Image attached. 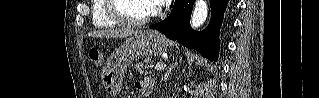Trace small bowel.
Instances as JSON below:
<instances>
[{
  "label": "small bowel",
  "mask_w": 319,
  "mask_h": 98,
  "mask_svg": "<svg viewBox=\"0 0 319 98\" xmlns=\"http://www.w3.org/2000/svg\"><path fill=\"white\" fill-rule=\"evenodd\" d=\"M153 81L150 78H145L141 81H138L135 86L136 89L142 94L146 95L152 88Z\"/></svg>",
  "instance_id": "c3829d8e"
}]
</instances>
